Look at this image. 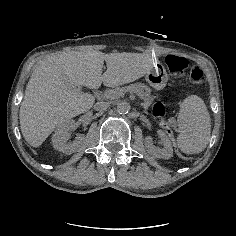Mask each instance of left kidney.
I'll use <instances>...</instances> for the list:
<instances>
[{
    "label": "left kidney",
    "mask_w": 236,
    "mask_h": 236,
    "mask_svg": "<svg viewBox=\"0 0 236 236\" xmlns=\"http://www.w3.org/2000/svg\"><path fill=\"white\" fill-rule=\"evenodd\" d=\"M158 135L161 138L164 147L159 148L154 146L152 143V138L148 136L145 138V147L147 149V152L155 156L156 158H171L173 155V149L168 136L162 130H158Z\"/></svg>",
    "instance_id": "1"
}]
</instances>
